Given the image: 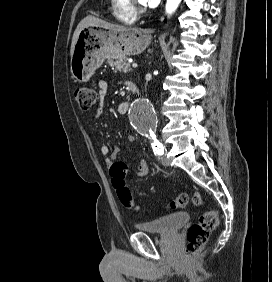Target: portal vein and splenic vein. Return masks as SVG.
Masks as SVG:
<instances>
[{"instance_id": "18ae733b", "label": "portal vein and splenic vein", "mask_w": 272, "mask_h": 282, "mask_svg": "<svg viewBox=\"0 0 272 282\" xmlns=\"http://www.w3.org/2000/svg\"><path fill=\"white\" fill-rule=\"evenodd\" d=\"M137 66H138V65H137L136 63H133V64H132V67H133V68H137Z\"/></svg>"}]
</instances>
